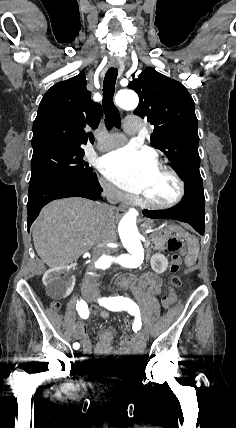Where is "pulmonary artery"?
I'll use <instances>...</instances> for the list:
<instances>
[{
	"label": "pulmonary artery",
	"instance_id": "obj_1",
	"mask_svg": "<svg viewBox=\"0 0 236 428\" xmlns=\"http://www.w3.org/2000/svg\"><path fill=\"white\" fill-rule=\"evenodd\" d=\"M115 135L118 137L117 141H122L125 139V136L122 133H117ZM115 147H117L116 143H104V144L99 145L98 149L101 151H107V150L113 149Z\"/></svg>",
	"mask_w": 236,
	"mask_h": 428
}]
</instances>
